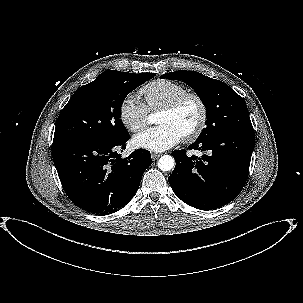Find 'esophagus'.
<instances>
[{"instance_id": "esophagus-1", "label": "esophagus", "mask_w": 303, "mask_h": 303, "mask_svg": "<svg viewBox=\"0 0 303 303\" xmlns=\"http://www.w3.org/2000/svg\"><path fill=\"white\" fill-rule=\"evenodd\" d=\"M160 156H161L160 153H155V152L151 153V157H152L153 160L158 159Z\"/></svg>"}]
</instances>
